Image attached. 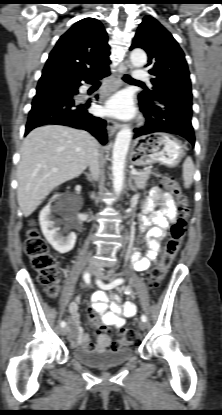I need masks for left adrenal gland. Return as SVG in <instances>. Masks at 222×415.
Returning <instances> with one entry per match:
<instances>
[{"label": "left adrenal gland", "mask_w": 222, "mask_h": 415, "mask_svg": "<svg viewBox=\"0 0 222 415\" xmlns=\"http://www.w3.org/2000/svg\"><path fill=\"white\" fill-rule=\"evenodd\" d=\"M132 180H133V176H132V174L130 173V175H129V180H128V186H129V188H130L132 191L136 192V188L134 187V185H133V183H132Z\"/></svg>", "instance_id": "a2214340"}]
</instances>
